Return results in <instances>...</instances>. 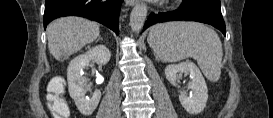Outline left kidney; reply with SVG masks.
Listing matches in <instances>:
<instances>
[{
    "label": "left kidney",
    "mask_w": 273,
    "mask_h": 118,
    "mask_svg": "<svg viewBox=\"0 0 273 118\" xmlns=\"http://www.w3.org/2000/svg\"><path fill=\"white\" fill-rule=\"evenodd\" d=\"M178 73L190 74L191 81L188 84L190 94L183 91L179 95V100L183 108L190 114L201 113L208 99V89L203 75L199 68L193 62H183L180 64H171L165 68L167 80L174 86Z\"/></svg>",
    "instance_id": "left-kidney-1"
}]
</instances>
